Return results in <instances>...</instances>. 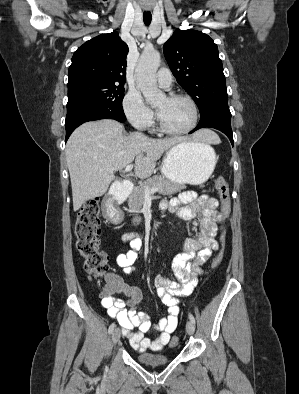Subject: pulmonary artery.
<instances>
[{
	"label": "pulmonary artery",
	"mask_w": 299,
	"mask_h": 394,
	"mask_svg": "<svg viewBox=\"0 0 299 394\" xmlns=\"http://www.w3.org/2000/svg\"><path fill=\"white\" fill-rule=\"evenodd\" d=\"M158 84L165 89H169L172 85V74L169 69L162 68L157 73Z\"/></svg>",
	"instance_id": "pulmonary-artery-1"
}]
</instances>
